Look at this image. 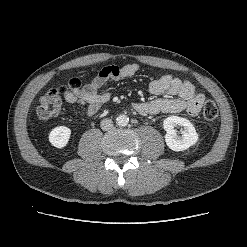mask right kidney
I'll list each match as a JSON object with an SVG mask.
<instances>
[{
    "label": "right kidney",
    "mask_w": 247,
    "mask_h": 247,
    "mask_svg": "<svg viewBox=\"0 0 247 247\" xmlns=\"http://www.w3.org/2000/svg\"><path fill=\"white\" fill-rule=\"evenodd\" d=\"M71 130L66 126L55 127L49 134L50 143L56 148H63L67 145Z\"/></svg>",
    "instance_id": "obj_1"
}]
</instances>
